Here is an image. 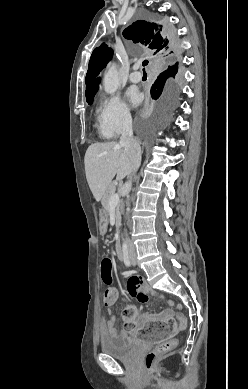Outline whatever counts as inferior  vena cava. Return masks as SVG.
Returning a JSON list of instances; mask_svg holds the SVG:
<instances>
[{"instance_id": "inferior-vena-cava-1", "label": "inferior vena cava", "mask_w": 248, "mask_h": 389, "mask_svg": "<svg viewBox=\"0 0 248 389\" xmlns=\"http://www.w3.org/2000/svg\"><path fill=\"white\" fill-rule=\"evenodd\" d=\"M120 145L125 148V151L131 160V176L130 180L125 183V189L127 192L132 187V175L136 173L141 164V148L140 144L133 138L132 119L128 117L124 120L122 126V135L120 138ZM126 251L128 253H135V247L130 239L126 240Z\"/></svg>"}]
</instances>
